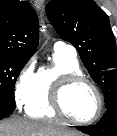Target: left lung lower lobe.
I'll use <instances>...</instances> for the list:
<instances>
[{"mask_svg":"<svg viewBox=\"0 0 117 136\" xmlns=\"http://www.w3.org/2000/svg\"><path fill=\"white\" fill-rule=\"evenodd\" d=\"M76 129L91 136H117V102L107 108L105 114L94 126H76Z\"/></svg>","mask_w":117,"mask_h":136,"instance_id":"1","label":"left lung lower lobe"}]
</instances>
